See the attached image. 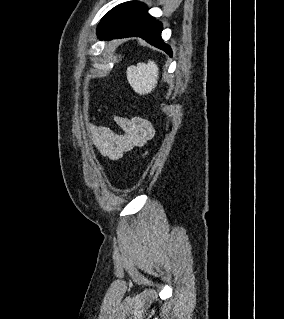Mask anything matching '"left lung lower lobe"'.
Listing matches in <instances>:
<instances>
[{
	"label": "left lung lower lobe",
	"mask_w": 284,
	"mask_h": 319,
	"mask_svg": "<svg viewBox=\"0 0 284 319\" xmlns=\"http://www.w3.org/2000/svg\"><path fill=\"white\" fill-rule=\"evenodd\" d=\"M162 29L161 22L148 14L145 4L126 2L120 6L112 20L98 34V37L104 40L141 37L172 56L170 46L165 44L161 38Z\"/></svg>",
	"instance_id": "0a47b994"
}]
</instances>
